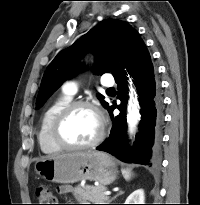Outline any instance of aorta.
Listing matches in <instances>:
<instances>
[{
	"label": "aorta",
	"mask_w": 200,
	"mask_h": 205,
	"mask_svg": "<svg viewBox=\"0 0 200 205\" xmlns=\"http://www.w3.org/2000/svg\"><path fill=\"white\" fill-rule=\"evenodd\" d=\"M130 99L127 108V122L129 126V132L132 134L140 120L139 113V102L137 100V95L135 89L132 87V82L130 81Z\"/></svg>",
	"instance_id": "obj_1"
}]
</instances>
